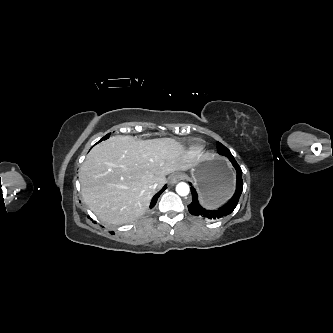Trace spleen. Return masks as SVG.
<instances>
[{
	"label": "spleen",
	"instance_id": "3e777b00",
	"mask_svg": "<svg viewBox=\"0 0 333 333\" xmlns=\"http://www.w3.org/2000/svg\"><path fill=\"white\" fill-rule=\"evenodd\" d=\"M227 199H228V198H227ZM227 199H225L223 202H225ZM223 202H222V203H223Z\"/></svg>",
	"mask_w": 333,
	"mask_h": 333
}]
</instances>
